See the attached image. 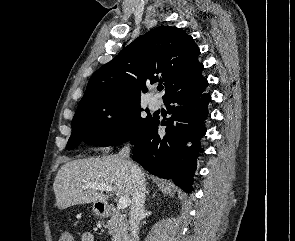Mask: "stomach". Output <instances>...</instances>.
<instances>
[{
  "instance_id": "obj_1",
  "label": "stomach",
  "mask_w": 295,
  "mask_h": 241,
  "mask_svg": "<svg viewBox=\"0 0 295 241\" xmlns=\"http://www.w3.org/2000/svg\"><path fill=\"white\" fill-rule=\"evenodd\" d=\"M93 212L97 215V216H103L104 215V209L99 207V202L95 203L93 205L92 208Z\"/></svg>"
}]
</instances>
